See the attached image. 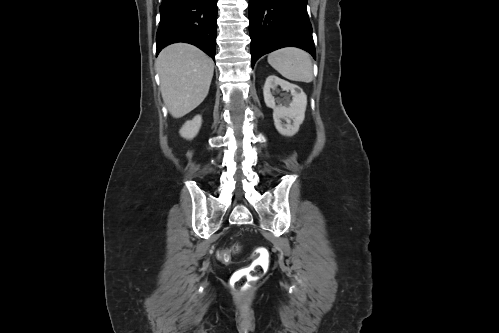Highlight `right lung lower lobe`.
<instances>
[{"instance_id": "right-lung-lower-lobe-1", "label": "right lung lower lobe", "mask_w": 499, "mask_h": 333, "mask_svg": "<svg viewBox=\"0 0 499 333\" xmlns=\"http://www.w3.org/2000/svg\"><path fill=\"white\" fill-rule=\"evenodd\" d=\"M157 52L176 42L193 44L215 60L217 0H162Z\"/></svg>"}]
</instances>
